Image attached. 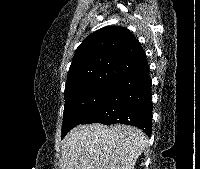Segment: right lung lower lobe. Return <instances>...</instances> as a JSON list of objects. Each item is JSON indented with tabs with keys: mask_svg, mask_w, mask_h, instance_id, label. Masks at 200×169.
<instances>
[{
	"mask_svg": "<svg viewBox=\"0 0 200 169\" xmlns=\"http://www.w3.org/2000/svg\"><path fill=\"white\" fill-rule=\"evenodd\" d=\"M151 79L149 69L117 81L107 99L81 124L121 123L152 133Z\"/></svg>",
	"mask_w": 200,
	"mask_h": 169,
	"instance_id": "1",
	"label": "right lung lower lobe"
}]
</instances>
